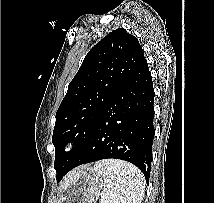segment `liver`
<instances>
[{"mask_svg":"<svg viewBox=\"0 0 214 203\" xmlns=\"http://www.w3.org/2000/svg\"><path fill=\"white\" fill-rule=\"evenodd\" d=\"M82 168L75 169L72 172H70L68 175H66V177L63 180V182L61 183V187L64 188L66 185H68L70 182H72V180L74 179V177L78 175L79 171Z\"/></svg>","mask_w":214,"mask_h":203,"instance_id":"1","label":"liver"}]
</instances>
